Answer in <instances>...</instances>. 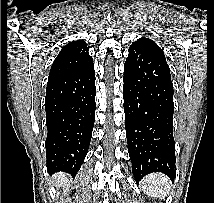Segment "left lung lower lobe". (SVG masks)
Listing matches in <instances>:
<instances>
[{"instance_id":"obj_1","label":"left lung lower lobe","mask_w":214,"mask_h":203,"mask_svg":"<svg viewBox=\"0 0 214 203\" xmlns=\"http://www.w3.org/2000/svg\"><path fill=\"white\" fill-rule=\"evenodd\" d=\"M123 81L126 137L136 182L151 172L174 181V91L167 62L129 49Z\"/></svg>"}]
</instances>
